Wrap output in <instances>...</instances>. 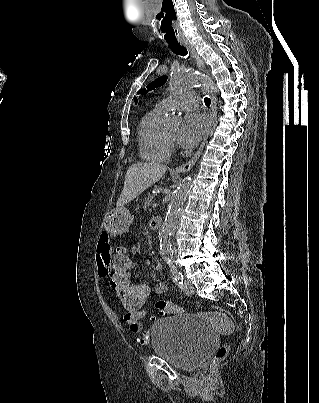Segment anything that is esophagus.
<instances>
[{
    "instance_id": "esophagus-1",
    "label": "esophagus",
    "mask_w": 319,
    "mask_h": 403,
    "mask_svg": "<svg viewBox=\"0 0 319 403\" xmlns=\"http://www.w3.org/2000/svg\"><path fill=\"white\" fill-rule=\"evenodd\" d=\"M183 46H185L192 54L193 58L195 59L196 65L198 67V69L206 71L205 66L203 61L200 59V57L197 55L195 49L193 48V46L187 41V40H182L180 42ZM216 112H217V107H216V98L213 94H211V108H210V124H209V128L203 138V141L201 143V146L199 147V149L197 150V152L194 154V156L185 164H182L180 166H177L176 168L173 169L174 172L176 173H182V172H186L189 171L194 164L196 163V161L198 160L199 156L201 155L204 146L208 140V137L212 131V128L216 122Z\"/></svg>"
}]
</instances>
